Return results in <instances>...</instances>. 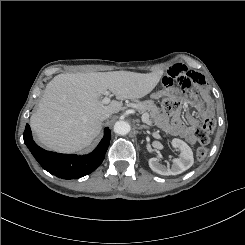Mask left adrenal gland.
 <instances>
[{"mask_svg": "<svg viewBox=\"0 0 245 245\" xmlns=\"http://www.w3.org/2000/svg\"><path fill=\"white\" fill-rule=\"evenodd\" d=\"M139 130H142V129H149V127L145 126V125H142L140 127H138Z\"/></svg>", "mask_w": 245, "mask_h": 245, "instance_id": "1", "label": "left adrenal gland"}]
</instances>
